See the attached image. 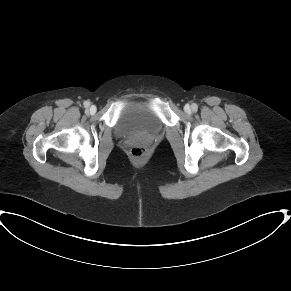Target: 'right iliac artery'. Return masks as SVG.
Wrapping results in <instances>:
<instances>
[{
	"instance_id": "1",
	"label": "right iliac artery",
	"mask_w": 291,
	"mask_h": 291,
	"mask_svg": "<svg viewBox=\"0 0 291 291\" xmlns=\"http://www.w3.org/2000/svg\"><path fill=\"white\" fill-rule=\"evenodd\" d=\"M84 106L87 108V107L90 106V103H89L88 101H86V102L84 103Z\"/></svg>"
}]
</instances>
